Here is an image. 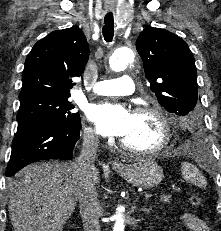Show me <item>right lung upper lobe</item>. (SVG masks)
<instances>
[{"label":"right lung upper lobe","mask_w":221,"mask_h":231,"mask_svg":"<svg viewBox=\"0 0 221 231\" xmlns=\"http://www.w3.org/2000/svg\"><path fill=\"white\" fill-rule=\"evenodd\" d=\"M89 57L82 30L73 26L49 33L38 41L25 60L19 99L37 95L68 96Z\"/></svg>","instance_id":"cb5924a9"}]
</instances>
